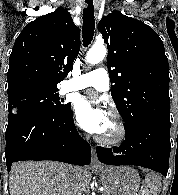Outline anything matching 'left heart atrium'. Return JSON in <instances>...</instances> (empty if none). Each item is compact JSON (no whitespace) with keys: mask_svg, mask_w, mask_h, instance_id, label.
Returning a JSON list of instances; mask_svg holds the SVG:
<instances>
[{"mask_svg":"<svg viewBox=\"0 0 178 195\" xmlns=\"http://www.w3.org/2000/svg\"><path fill=\"white\" fill-rule=\"evenodd\" d=\"M75 114L78 122L88 132L99 134L108 114L97 103L87 98H78L75 102Z\"/></svg>","mask_w":178,"mask_h":195,"instance_id":"1","label":"left heart atrium"}]
</instances>
